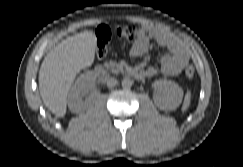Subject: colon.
I'll return each mask as SVG.
<instances>
[{"label": "colon", "mask_w": 243, "mask_h": 167, "mask_svg": "<svg viewBox=\"0 0 243 167\" xmlns=\"http://www.w3.org/2000/svg\"><path fill=\"white\" fill-rule=\"evenodd\" d=\"M143 27L137 25H123L116 28V34L118 37L124 40H134L142 32ZM97 38V55L100 58H103L107 53V47L109 40L111 38V30L106 25H101L96 31ZM195 69L193 65L188 64L185 68V75L188 79L194 77Z\"/></svg>", "instance_id": "5ec220e1"}]
</instances>
